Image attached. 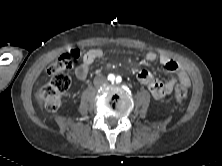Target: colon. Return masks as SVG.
<instances>
[{"label": "colon", "mask_w": 222, "mask_h": 166, "mask_svg": "<svg viewBox=\"0 0 222 166\" xmlns=\"http://www.w3.org/2000/svg\"><path fill=\"white\" fill-rule=\"evenodd\" d=\"M80 56V51L73 49L62 53L48 66L47 74L51 79L42 85L38 92V99L47 110L55 111L60 107L63 94L70 86V78L65 71L72 67ZM187 94V87L179 84L175 87L173 98L178 104H182Z\"/></svg>", "instance_id": "colon-1"}]
</instances>
